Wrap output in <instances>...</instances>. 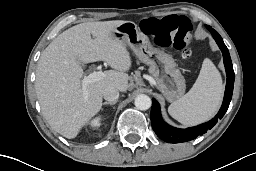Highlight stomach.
Wrapping results in <instances>:
<instances>
[{"label":"stomach","instance_id":"0dacf381","mask_svg":"<svg viewBox=\"0 0 256 171\" xmlns=\"http://www.w3.org/2000/svg\"><path fill=\"white\" fill-rule=\"evenodd\" d=\"M112 35L128 45L139 60L149 66L156 88L169 102H175L184 95L185 80L174 59L163 50L153 47L136 23L125 21L113 30Z\"/></svg>","mask_w":256,"mask_h":171}]
</instances>
